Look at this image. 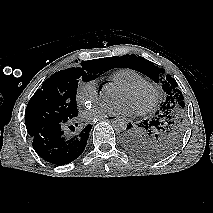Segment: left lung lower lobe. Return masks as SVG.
Instances as JSON below:
<instances>
[{
    "mask_svg": "<svg viewBox=\"0 0 213 213\" xmlns=\"http://www.w3.org/2000/svg\"><path fill=\"white\" fill-rule=\"evenodd\" d=\"M143 122L141 125H138V127H133L131 123H129V125H127V130L123 131L121 133H123L122 136V140L124 145L127 147L128 150H130L132 152V148H135L137 145V137L139 132L143 129L147 127V124ZM137 125V124H136Z\"/></svg>",
    "mask_w": 213,
    "mask_h": 213,
    "instance_id": "1",
    "label": "left lung lower lobe"
}]
</instances>
